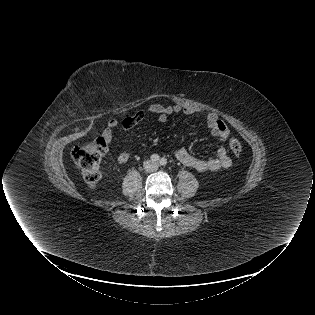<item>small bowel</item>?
<instances>
[{
    "label": "small bowel",
    "instance_id": "c3829d8e",
    "mask_svg": "<svg viewBox=\"0 0 315 315\" xmlns=\"http://www.w3.org/2000/svg\"><path fill=\"white\" fill-rule=\"evenodd\" d=\"M147 112L156 115L158 121L160 123H164L170 115L178 113L189 115L193 113V110L178 104L163 105L159 103H153L148 106L147 110H139L134 115L128 116L122 121L111 119L108 121L105 129L102 132V136L105 138L107 145H109L112 141L113 132L116 129L121 127L126 131L131 130L146 117ZM205 122L214 137H218L223 140H227L229 138L230 131L228 127L223 121L219 119L216 114H208L205 117ZM174 155L176 159L183 165L195 169L198 172L218 171L222 168H229L232 165V160L228 156L226 148L223 146L219 147L216 156L210 159L198 158L183 147L176 148ZM129 158L130 157L127 153H122L118 156L117 161L119 164H124L128 162Z\"/></svg>",
    "mask_w": 315,
    "mask_h": 315
}]
</instances>
